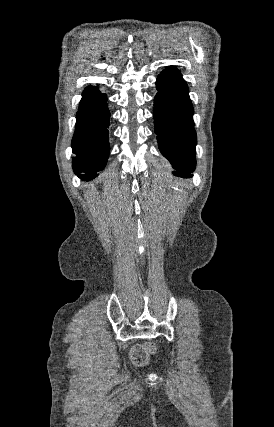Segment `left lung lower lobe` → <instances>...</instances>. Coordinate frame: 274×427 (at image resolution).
I'll return each mask as SVG.
<instances>
[{"mask_svg":"<svg viewBox=\"0 0 274 427\" xmlns=\"http://www.w3.org/2000/svg\"><path fill=\"white\" fill-rule=\"evenodd\" d=\"M156 86L153 116L159 149L177 170L175 176L190 178L197 139L187 84L176 67H168L158 76Z\"/></svg>","mask_w":274,"mask_h":427,"instance_id":"obj_1","label":"left lung lower lobe"}]
</instances>
